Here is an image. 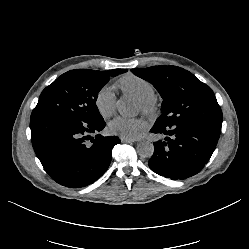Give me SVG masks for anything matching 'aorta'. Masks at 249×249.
Instances as JSON below:
<instances>
[{
    "instance_id": "1",
    "label": "aorta",
    "mask_w": 249,
    "mask_h": 249,
    "mask_svg": "<svg viewBox=\"0 0 249 249\" xmlns=\"http://www.w3.org/2000/svg\"><path fill=\"white\" fill-rule=\"evenodd\" d=\"M116 108L123 116H133L136 112L133 103L127 98H120L116 102ZM137 153L140 157L150 158L154 153V145L149 141H141L137 145Z\"/></svg>"
}]
</instances>
